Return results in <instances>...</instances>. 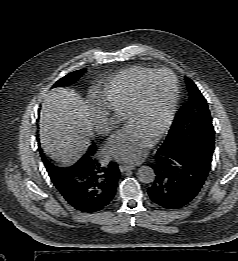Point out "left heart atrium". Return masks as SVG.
Listing matches in <instances>:
<instances>
[{
    "mask_svg": "<svg viewBox=\"0 0 238 261\" xmlns=\"http://www.w3.org/2000/svg\"><path fill=\"white\" fill-rule=\"evenodd\" d=\"M150 136L135 125H127L123 130L113 135L107 143V152L114 158L136 163L145 155L152 145Z\"/></svg>",
    "mask_w": 238,
    "mask_h": 261,
    "instance_id": "obj_1",
    "label": "left heart atrium"
}]
</instances>
